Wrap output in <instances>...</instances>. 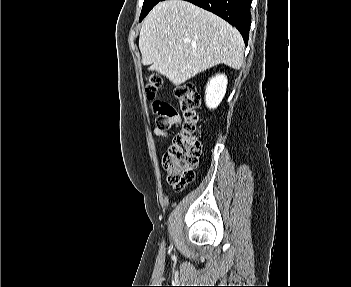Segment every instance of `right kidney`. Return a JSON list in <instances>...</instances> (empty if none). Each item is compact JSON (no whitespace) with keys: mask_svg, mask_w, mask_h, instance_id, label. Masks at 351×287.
Segmentation results:
<instances>
[{"mask_svg":"<svg viewBox=\"0 0 351 287\" xmlns=\"http://www.w3.org/2000/svg\"><path fill=\"white\" fill-rule=\"evenodd\" d=\"M227 77L224 74H217L212 77L205 91V102L209 109H215L225 96L227 88Z\"/></svg>","mask_w":351,"mask_h":287,"instance_id":"1","label":"right kidney"}]
</instances>
